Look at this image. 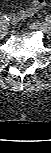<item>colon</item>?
<instances>
[{"mask_svg": "<svg viewBox=\"0 0 51 153\" xmlns=\"http://www.w3.org/2000/svg\"><path fill=\"white\" fill-rule=\"evenodd\" d=\"M35 1H36V5H40L43 0H35Z\"/></svg>", "mask_w": 51, "mask_h": 153, "instance_id": "5ec220e1", "label": "colon"}]
</instances>
